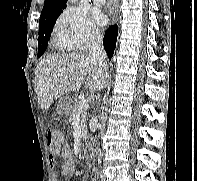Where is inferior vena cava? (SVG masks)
I'll list each match as a JSON object with an SVG mask.
<instances>
[{
  "label": "inferior vena cava",
  "instance_id": "obj_1",
  "mask_svg": "<svg viewBox=\"0 0 197 181\" xmlns=\"http://www.w3.org/2000/svg\"><path fill=\"white\" fill-rule=\"evenodd\" d=\"M89 57L91 61L99 67L100 70H107V65L105 63L106 53L103 47V38L98 31H93L90 34Z\"/></svg>",
  "mask_w": 197,
  "mask_h": 181
}]
</instances>
